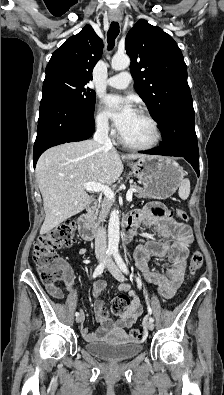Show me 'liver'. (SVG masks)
Wrapping results in <instances>:
<instances>
[{"label": "liver", "instance_id": "obj_1", "mask_svg": "<svg viewBox=\"0 0 224 395\" xmlns=\"http://www.w3.org/2000/svg\"><path fill=\"white\" fill-rule=\"evenodd\" d=\"M140 154L121 155L94 140L66 143L45 151L36 166V177L43 198L45 234L68 218L82 212L91 202L84 183L110 186L123 172L122 160L139 159Z\"/></svg>", "mask_w": 224, "mask_h": 395}]
</instances>
